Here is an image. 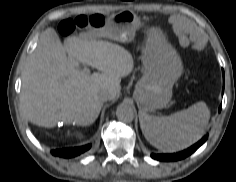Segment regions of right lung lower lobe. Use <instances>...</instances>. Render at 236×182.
<instances>
[{
	"mask_svg": "<svg viewBox=\"0 0 236 182\" xmlns=\"http://www.w3.org/2000/svg\"><path fill=\"white\" fill-rule=\"evenodd\" d=\"M90 147L91 145L88 144L81 147L57 149V150H52V154L56 156L64 157V158H71L87 151L88 149H90Z\"/></svg>",
	"mask_w": 236,
	"mask_h": 182,
	"instance_id": "1",
	"label": "right lung lower lobe"
}]
</instances>
